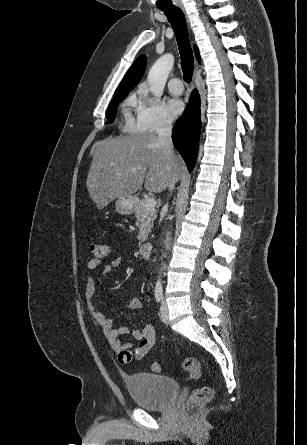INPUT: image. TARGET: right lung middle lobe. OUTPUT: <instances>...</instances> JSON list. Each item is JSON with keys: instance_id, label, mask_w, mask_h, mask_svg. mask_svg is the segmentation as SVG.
Segmentation results:
<instances>
[{"instance_id": "right-lung-middle-lobe-1", "label": "right lung middle lobe", "mask_w": 307, "mask_h": 445, "mask_svg": "<svg viewBox=\"0 0 307 445\" xmlns=\"http://www.w3.org/2000/svg\"><path fill=\"white\" fill-rule=\"evenodd\" d=\"M123 99L124 98L116 100V101H113V102H111L109 104L108 110L106 112V117H107L109 122H111V123L114 122V120H115V111H116L117 105Z\"/></svg>"}]
</instances>
